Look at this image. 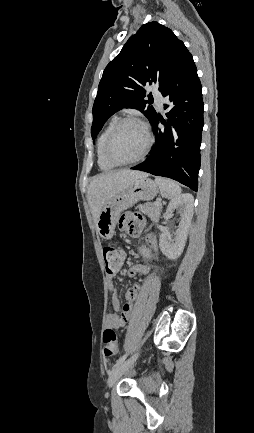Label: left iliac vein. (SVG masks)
Here are the masks:
<instances>
[{
    "label": "left iliac vein",
    "mask_w": 254,
    "mask_h": 433,
    "mask_svg": "<svg viewBox=\"0 0 254 433\" xmlns=\"http://www.w3.org/2000/svg\"><path fill=\"white\" fill-rule=\"evenodd\" d=\"M138 356L139 352L135 353L129 359L123 361L115 369L112 370L108 378L109 388H112L117 383L120 377L134 364Z\"/></svg>",
    "instance_id": "4c4485c4"
}]
</instances>
